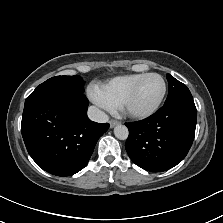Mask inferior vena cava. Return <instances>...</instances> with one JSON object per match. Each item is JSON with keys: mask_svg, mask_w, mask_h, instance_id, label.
<instances>
[{"mask_svg": "<svg viewBox=\"0 0 223 223\" xmlns=\"http://www.w3.org/2000/svg\"><path fill=\"white\" fill-rule=\"evenodd\" d=\"M87 113L92 121L103 123L109 120V116L97 106H90Z\"/></svg>", "mask_w": 223, "mask_h": 223, "instance_id": "obj_1", "label": "inferior vena cava"}]
</instances>
